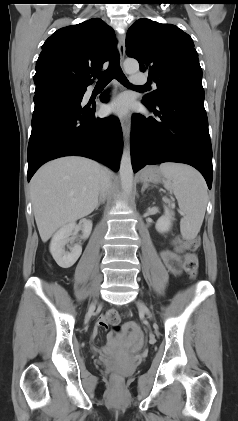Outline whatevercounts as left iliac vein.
<instances>
[{"label":"left iliac vein","mask_w":238,"mask_h":421,"mask_svg":"<svg viewBox=\"0 0 238 421\" xmlns=\"http://www.w3.org/2000/svg\"><path fill=\"white\" fill-rule=\"evenodd\" d=\"M137 305H138L139 309L141 311H143L149 318L152 317L150 310L148 309V307L143 302H138Z\"/></svg>","instance_id":"4c4485c4"}]
</instances>
